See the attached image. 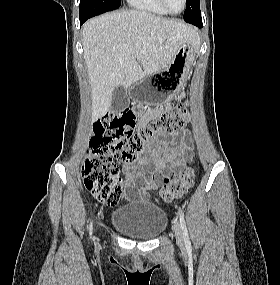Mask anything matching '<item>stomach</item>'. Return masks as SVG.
<instances>
[{
  "instance_id": "0dacf381",
  "label": "stomach",
  "mask_w": 280,
  "mask_h": 285,
  "mask_svg": "<svg viewBox=\"0 0 280 285\" xmlns=\"http://www.w3.org/2000/svg\"><path fill=\"white\" fill-rule=\"evenodd\" d=\"M194 59V45L183 43L164 70L148 75L131 86L132 98L159 106L169 103L183 89Z\"/></svg>"
}]
</instances>
